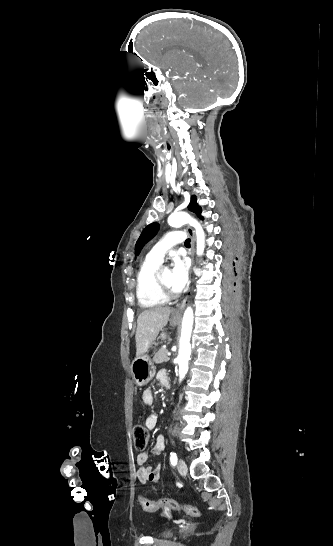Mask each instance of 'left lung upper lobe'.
I'll list each match as a JSON object with an SVG mask.
<instances>
[{
	"label": "left lung upper lobe",
	"mask_w": 333,
	"mask_h": 546,
	"mask_svg": "<svg viewBox=\"0 0 333 546\" xmlns=\"http://www.w3.org/2000/svg\"><path fill=\"white\" fill-rule=\"evenodd\" d=\"M188 208H189L190 211L196 213L198 215V217L202 219L201 208L197 205L195 196L191 197V201H190V204L188 205ZM159 226L160 225L158 223L154 222V223L149 224L143 230V232L141 233V235H140V237L137 240L136 245H135V254L136 255H138L140 253L141 249L143 248V246L155 236V234L159 230Z\"/></svg>",
	"instance_id": "obj_1"
}]
</instances>
